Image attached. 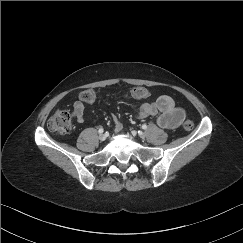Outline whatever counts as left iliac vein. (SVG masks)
Segmentation results:
<instances>
[{
	"mask_svg": "<svg viewBox=\"0 0 243 243\" xmlns=\"http://www.w3.org/2000/svg\"><path fill=\"white\" fill-rule=\"evenodd\" d=\"M139 136H140L141 138H144V137H145V134H144L143 132H141V133L139 134Z\"/></svg>",
	"mask_w": 243,
	"mask_h": 243,
	"instance_id": "obj_1",
	"label": "left iliac vein"
}]
</instances>
